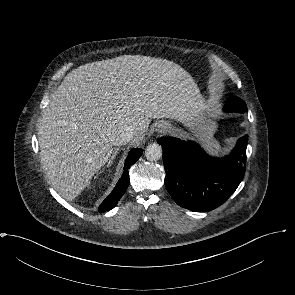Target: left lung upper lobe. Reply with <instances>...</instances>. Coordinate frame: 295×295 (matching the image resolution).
<instances>
[{"label":"left lung upper lobe","instance_id":"5c2ea615","mask_svg":"<svg viewBox=\"0 0 295 295\" xmlns=\"http://www.w3.org/2000/svg\"><path fill=\"white\" fill-rule=\"evenodd\" d=\"M224 109L244 113L247 111V106L242 99L238 97H231Z\"/></svg>","mask_w":295,"mask_h":295}]
</instances>
